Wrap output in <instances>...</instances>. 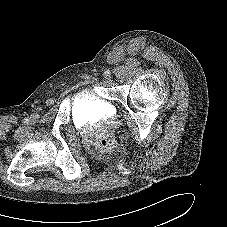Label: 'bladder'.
<instances>
[{"label": "bladder", "mask_w": 227, "mask_h": 227, "mask_svg": "<svg viewBox=\"0 0 227 227\" xmlns=\"http://www.w3.org/2000/svg\"><path fill=\"white\" fill-rule=\"evenodd\" d=\"M114 112L115 108L110 101L98 97L93 92H83L73 104V113L78 125L108 119Z\"/></svg>", "instance_id": "bladder-1"}]
</instances>
